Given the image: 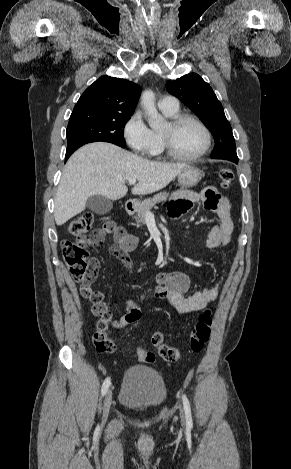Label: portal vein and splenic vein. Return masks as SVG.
<instances>
[{"label":"portal vein and splenic vein","mask_w":291,"mask_h":469,"mask_svg":"<svg viewBox=\"0 0 291 469\" xmlns=\"http://www.w3.org/2000/svg\"><path fill=\"white\" fill-rule=\"evenodd\" d=\"M129 184L134 185L136 183V179L131 178L128 180Z\"/></svg>","instance_id":"portal-vein-and-splenic-vein-1"}]
</instances>
